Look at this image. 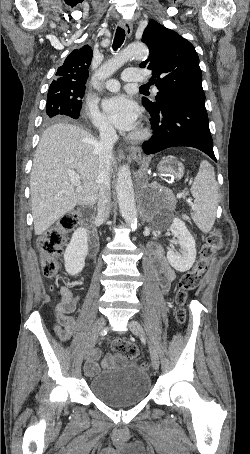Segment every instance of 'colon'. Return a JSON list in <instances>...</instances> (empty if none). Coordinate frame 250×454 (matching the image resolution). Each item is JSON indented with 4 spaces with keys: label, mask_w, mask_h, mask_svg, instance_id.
Masks as SVG:
<instances>
[{
    "label": "colon",
    "mask_w": 250,
    "mask_h": 454,
    "mask_svg": "<svg viewBox=\"0 0 250 454\" xmlns=\"http://www.w3.org/2000/svg\"><path fill=\"white\" fill-rule=\"evenodd\" d=\"M76 224V214H65L38 239L37 247L41 256L42 272L46 277L57 276L60 267L59 258L62 255L67 235L75 228ZM222 246L221 233L218 230L211 232L202 244L194 266L181 276L175 295V302L178 306L176 319L179 323H183L186 319L183 306L188 299V294L198 286L212 257ZM112 350L116 355L126 358L132 359L137 355L136 347L123 340L115 341L112 345ZM142 366L146 368L147 364L143 363Z\"/></svg>",
    "instance_id": "obj_1"
}]
</instances>
